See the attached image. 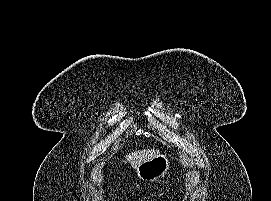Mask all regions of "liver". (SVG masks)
I'll return each mask as SVG.
<instances>
[{
  "mask_svg": "<svg viewBox=\"0 0 271 201\" xmlns=\"http://www.w3.org/2000/svg\"><path fill=\"white\" fill-rule=\"evenodd\" d=\"M159 150L155 149H144V150H136L129 155H126V159L131 164V166L136 169L143 162L153 159L157 155H159Z\"/></svg>",
  "mask_w": 271,
  "mask_h": 201,
  "instance_id": "1",
  "label": "liver"
}]
</instances>
